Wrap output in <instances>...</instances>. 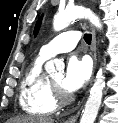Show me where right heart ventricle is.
Returning a JSON list of instances; mask_svg holds the SVG:
<instances>
[{
    "label": "right heart ventricle",
    "instance_id": "right-heart-ventricle-1",
    "mask_svg": "<svg viewBox=\"0 0 118 123\" xmlns=\"http://www.w3.org/2000/svg\"><path fill=\"white\" fill-rule=\"evenodd\" d=\"M46 59L39 54L26 70L20 84L19 104L30 115L47 116L57 109L49 78L43 71Z\"/></svg>",
    "mask_w": 118,
    "mask_h": 123
}]
</instances>
